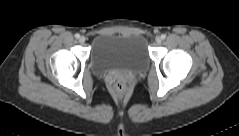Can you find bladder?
I'll list each match as a JSON object with an SVG mask.
<instances>
[{
  "label": "bladder",
  "mask_w": 239,
  "mask_h": 136,
  "mask_svg": "<svg viewBox=\"0 0 239 136\" xmlns=\"http://www.w3.org/2000/svg\"><path fill=\"white\" fill-rule=\"evenodd\" d=\"M91 61L97 72L140 71L149 62L148 43L138 34L101 33L92 40Z\"/></svg>",
  "instance_id": "31cf9c89"
}]
</instances>
